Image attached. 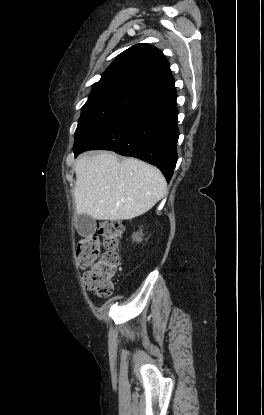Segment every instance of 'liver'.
Segmentation results:
<instances>
[{
	"label": "liver",
	"mask_w": 264,
	"mask_h": 415,
	"mask_svg": "<svg viewBox=\"0 0 264 415\" xmlns=\"http://www.w3.org/2000/svg\"><path fill=\"white\" fill-rule=\"evenodd\" d=\"M76 212L96 220H129L149 211L166 195L161 171L136 158L111 152L82 155L75 164Z\"/></svg>",
	"instance_id": "6515ba94"
}]
</instances>
